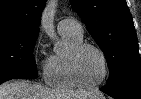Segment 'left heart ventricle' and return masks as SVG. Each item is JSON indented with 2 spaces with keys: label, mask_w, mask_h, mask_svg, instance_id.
Returning a JSON list of instances; mask_svg holds the SVG:
<instances>
[{
  "label": "left heart ventricle",
  "mask_w": 141,
  "mask_h": 99,
  "mask_svg": "<svg viewBox=\"0 0 141 99\" xmlns=\"http://www.w3.org/2000/svg\"><path fill=\"white\" fill-rule=\"evenodd\" d=\"M79 71L85 82H98L104 74V63L101 55L94 49L84 50L79 58Z\"/></svg>",
  "instance_id": "left-heart-ventricle-1"
}]
</instances>
